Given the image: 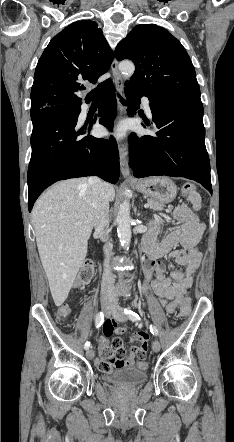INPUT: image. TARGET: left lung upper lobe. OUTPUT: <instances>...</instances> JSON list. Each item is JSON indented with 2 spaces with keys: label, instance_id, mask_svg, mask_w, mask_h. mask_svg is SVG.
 I'll use <instances>...</instances> for the list:
<instances>
[{
  "label": "left lung upper lobe",
  "instance_id": "obj_1",
  "mask_svg": "<svg viewBox=\"0 0 234 442\" xmlns=\"http://www.w3.org/2000/svg\"><path fill=\"white\" fill-rule=\"evenodd\" d=\"M118 61L130 59L135 73L125 85L151 97H198L194 66L182 44L155 24L137 25L115 49Z\"/></svg>",
  "mask_w": 234,
  "mask_h": 442
}]
</instances>
